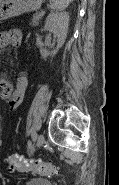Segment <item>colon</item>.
Here are the masks:
<instances>
[{
	"label": "colon",
	"instance_id": "colon-1",
	"mask_svg": "<svg viewBox=\"0 0 119 185\" xmlns=\"http://www.w3.org/2000/svg\"><path fill=\"white\" fill-rule=\"evenodd\" d=\"M10 171L30 172L39 175H54L57 169L49 162L24 159L18 153H12L6 158Z\"/></svg>",
	"mask_w": 119,
	"mask_h": 185
}]
</instances>
